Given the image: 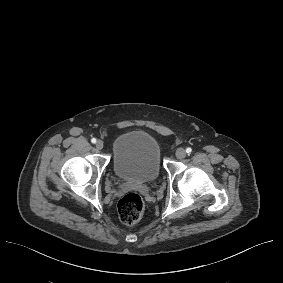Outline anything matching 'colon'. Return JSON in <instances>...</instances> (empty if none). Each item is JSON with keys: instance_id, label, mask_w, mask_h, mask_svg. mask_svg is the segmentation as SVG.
<instances>
[{"instance_id": "colon-1", "label": "colon", "mask_w": 283, "mask_h": 283, "mask_svg": "<svg viewBox=\"0 0 283 283\" xmlns=\"http://www.w3.org/2000/svg\"><path fill=\"white\" fill-rule=\"evenodd\" d=\"M120 220L127 225L137 224L143 217L145 204L136 193H128L117 203Z\"/></svg>"}]
</instances>
